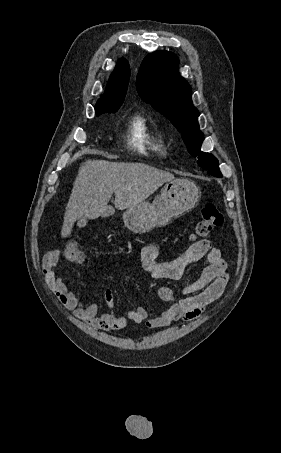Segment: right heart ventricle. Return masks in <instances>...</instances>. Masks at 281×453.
Wrapping results in <instances>:
<instances>
[{
	"instance_id": "1",
	"label": "right heart ventricle",
	"mask_w": 281,
	"mask_h": 453,
	"mask_svg": "<svg viewBox=\"0 0 281 453\" xmlns=\"http://www.w3.org/2000/svg\"><path fill=\"white\" fill-rule=\"evenodd\" d=\"M127 136L129 144L140 153H159L165 148V141L150 125L147 118L139 113L131 116Z\"/></svg>"
}]
</instances>
